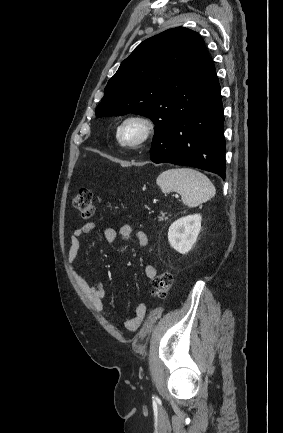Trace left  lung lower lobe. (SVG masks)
Masks as SVG:
<instances>
[{"instance_id":"0a47b994","label":"left lung lower lobe","mask_w":283,"mask_h":433,"mask_svg":"<svg viewBox=\"0 0 283 433\" xmlns=\"http://www.w3.org/2000/svg\"><path fill=\"white\" fill-rule=\"evenodd\" d=\"M196 97L197 106L189 114L155 129L151 161L196 167L225 179L223 107L211 58L200 74Z\"/></svg>"}]
</instances>
